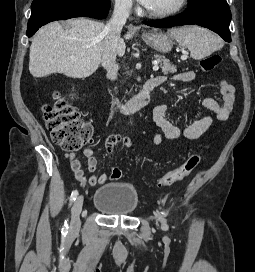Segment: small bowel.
Listing matches in <instances>:
<instances>
[{
	"instance_id": "obj_1",
	"label": "small bowel",
	"mask_w": 255,
	"mask_h": 272,
	"mask_svg": "<svg viewBox=\"0 0 255 272\" xmlns=\"http://www.w3.org/2000/svg\"><path fill=\"white\" fill-rule=\"evenodd\" d=\"M156 78L159 80L160 84L167 80V77L163 75L156 76ZM172 79L183 83L191 82L195 79V73L193 71L180 72L174 74ZM218 86L222 99L218 100L211 97L203 99L202 104L209 111V113L195 119L183 129H179L168 120V115L170 112V107L168 105L162 104L156 106L153 109L152 119L159 128V131L155 134L153 143L155 145H160L163 138L167 140H175L180 136L188 139H197L209 129L214 120L224 121L228 119L235 103V88L230 81L223 78L218 80ZM120 143L126 147H130L132 145L131 139L127 136H122L120 134H112L108 136L105 141L107 153L112 155L115 147ZM83 155L87 159L88 171L95 172L97 169V159L93 155V150L90 147H86L83 149ZM68 157L75 178L82 185H102L108 181V176L106 174H101L99 176L91 175L88 178L85 175L83 166L77 155L71 152L68 154Z\"/></svg>"
}]
</instances>
